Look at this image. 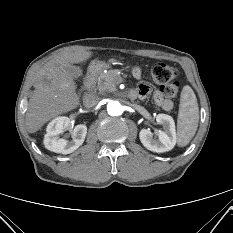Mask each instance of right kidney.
<instances>
[{"label": "right kidney", "instance_id": "right-kidney-1", "mask_svg": "<svg viewBox=\"0 0 233 233\" xmlns=\"http://www.w3.org/2000/svg\"><path fill=\"white\" fill-rule=\"evenodd\" d=\"M71 129L70 119L65 116L53 119L46 128L44 136L45 147L53 152L70 154L78 149L84 142L87 127L84 124H79L72 130V140L68 141L65 138H59V135L66 130Z\"/></svg>", "mask_w": 233, "mask_h": 233}]
</instances>
